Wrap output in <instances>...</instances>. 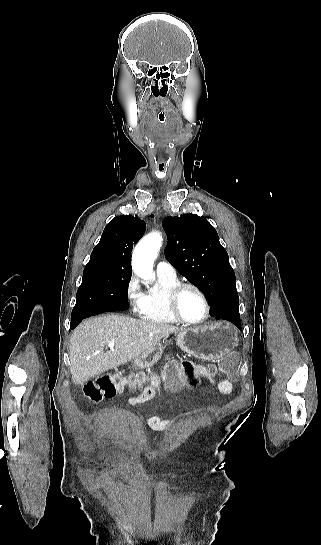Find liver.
Segmentation results:
<instances>
[{
    "instance_id": "6515ba94",
    "label": "liver",
    "mask_w": 321,
    "mask_h": 545,
    "mask_svg": "<svg viewBox=\"0 0 321 545\" xmlns=\"http://www.w3.org/2000/svg\"><path fill=\"white\" fill-rule=\"evenodd\" d=\"M182 331L166 323L139 321L123 315H101L80 323L70 341V373L75 385L125 365L154 347L163 337ZM114 341L115 349L103 353Z\"/></svg>"
}]
</instances>
